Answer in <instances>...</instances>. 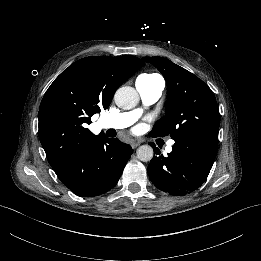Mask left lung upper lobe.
Segmentation results:
<instances>
[{
    "mask_svg": "<svg viewBox=\"0 0 261 261\" xmlns=\"http://www.w3.org/2000/svg\"><path fill=\"white\" fill-rule=\"evenodd\" d=\"M155 66L167 82L166 115L154 125L150 135H170L174 141L203 136L218 141L220 116L211 89L201 79L162 57L143 58Z\"/></svg>",
    "mask_w": 261,
    "mask_h": 261,
    "instance_id": "left-lung-upper-lobe-1",
    "label": "left lung upper lobe"
}]
</instances>
